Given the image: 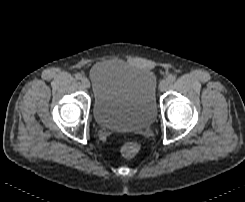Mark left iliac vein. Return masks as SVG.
I'll return each instance as SVG.
<instances>
[{
    "mask_svg": "<svg viewBox=\"0 0 245 202\" xmlns=\"http://www.w3.org/2000/svg\"><path fill=\"white\" fill-rule=\"evenodd\" d=\"M169 82L167 80H162L159 84V89L165 91L168 87Z\"/></svg>",
    "mask_w": 245,
    "mask_h": 202,
    "instance_id": "1",
    "label": "left iliac vein"
}]
</instances>
